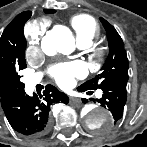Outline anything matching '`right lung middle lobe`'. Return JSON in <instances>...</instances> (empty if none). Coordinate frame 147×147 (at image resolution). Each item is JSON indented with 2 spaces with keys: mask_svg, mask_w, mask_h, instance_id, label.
<instances>
[{
  "mask_svg": "<svg viewBox=\"0 0 147 147\" xmlns=\"http://www.w3.org/2000/svg\"><path fill=\"white\" fill-rule=\"evenodd\" d=\"M44 11L46 13L55 12V10H49V9H45ZM31 14L32 13L30 11L24 12V18L19 27L22 33L23 42L25 45H26V40L24 37L23 27H24L25 22L30 18ZM24 68H26L25 55L20 65L17 68H14L7 76V79H6L7 89H8L9 94L14 97L22 95L24 93V83L20 81L21 76L18 74V72Z\"/></svg>",
  "mask_w": 147,
  "mask_h": 147,
  "instance_id": "1",
  "label": "right lung middle lobe"
}]
</instances>
